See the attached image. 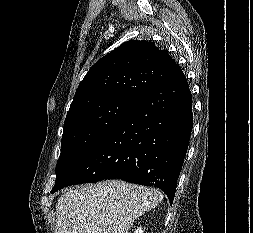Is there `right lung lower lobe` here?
<instances>
[{"label":"right lung lower lobe","instance_id":"right-lung-lower-lobe-1","mask_svg":"<svg viewBox=\"0 0 253 233\" xmlns=\"http://www.w3.org/2000/svg\"><path fill=\"white\" fill-rule=\"evenodd\" d=\"M193 126L192 97L180 70L137 98L116 126L55 183L105 179L157 187L172 204Z\"/></svg>","mask_w":253,"mask_h":233}]
</instances>
